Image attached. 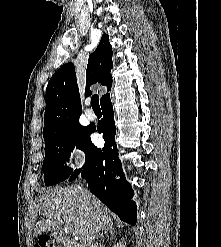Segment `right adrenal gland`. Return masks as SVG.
<instances>
[{"label": "right adrenal gland", "mask_w": 221, "mask_h": 247, "mask_svg": "<svg viewBox=\"0 0 221 247\" xmlns=\"http://www.w3.org/2000/svg\"><path fill=\"white\" fill-rule=\"evenodd\" d=\"M107 232H110L113 234L114 232V227L113 224L107 225L105 228L102 229V232L99 234V238H103L104 236H107Z\"/></svg>", "instance_id": "2a0ac1e0"}]
</instances>
